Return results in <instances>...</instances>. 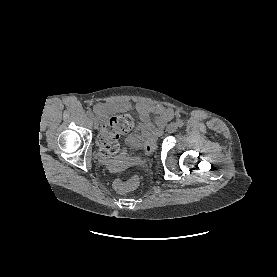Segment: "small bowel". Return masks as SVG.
I'll list each match as a JSON object with an SVG mask.
<instances>
[{"label":"small bowel","instance_id":"small-bowel-1","mask_svg":"<svg viewBox=\"0 0 277 277\" xmlns=\"http://www.w3.org/2000/svg\"><path fill=\"white\" fill-rule=\"evenodd\" d=\"M109 105L105 103H98L95 105V110L99 114L101 120L104 122L106 120L107 111ZM126 108L131 107L130 105H125ZM136 111L140 114L143 120H147L149 114L155 115V124L158 127H162L166 122L173 116V112L161 105H147L144 103H137L133 106Z\"/></svg>","mask_w":277,"mask_h":277}]
</instances>
